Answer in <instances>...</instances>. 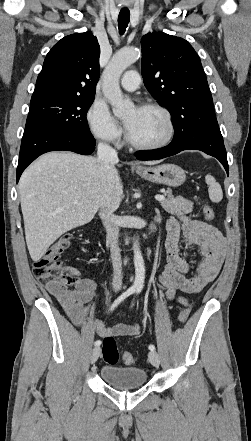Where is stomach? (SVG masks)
Returning <instances> with one entry per match:
<instances>
[{"instance_id": "stomach-1", "label": "stomach", "mask_w": 251, "mask_h": 441, "mask_svg": "<svg viewBox=\"0 0 251 441\" xmlns=\"http://www.w3.org/2000/svg\"><path fill=\"white\" fill-rule=\"evenodd\" d=\"M136 173L143 179L153 183L178 187L186 180L185 171L175 164H163L156 167H142Z\"/></svg>"}]
</instances>
